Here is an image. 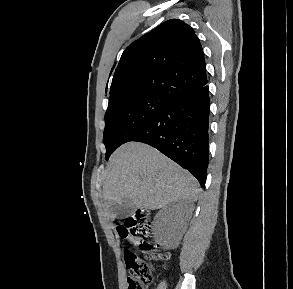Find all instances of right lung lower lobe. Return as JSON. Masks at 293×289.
Returning a JSON list of instances; mask_svg holds the SVG:
<instances>
[{
  "label": "right lung lower lobe",
  "mask_w": 293,
  "mask_h": 289,
  "mask_svg": "<svg viewBox=\"0 0 293 289\" xmlns=\"http://www.w3.org/2000/svg\"><path fill=\"white\" fill-rule=\"evenodd\" d=\"M209 89L205 85L171 101L129 141L149 144L186 168L205 186L209 146Z\"/></svg>",
  "instance_id": "right-lung-lower-lobe-1"
}]
</instances>
